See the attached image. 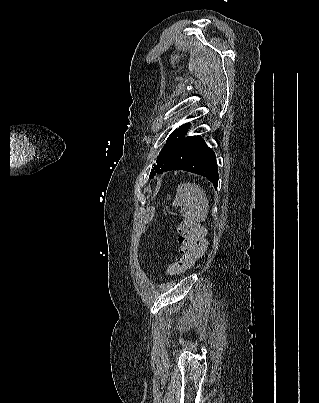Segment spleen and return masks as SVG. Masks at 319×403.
Masks as SVG:
<instances>
[{"mask_svg":"<svg viewBox=\"0 0 319 403\" xmlns=\"http://www.w3.org/2000/svg\"><path fill=\"white\" fill-rule=\"evenodd\" d=\"M173 206H180L181 214L195 222L205 221L209 212L206 193L195 183H184L178 186Z\"/></svg>","mask_w":319,"mask_h":403,"instance_id":"3e777b00","label":"spleen"}]
</instances>
